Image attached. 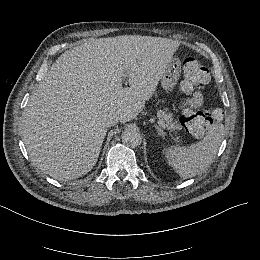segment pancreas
<instances>
[{"mask_svg":"<svg viewBox=\"0 0 260 260\" xmlns=\"http://www.w3.org/2000/svg\"><path fill=\"white\" fill-rule=\"evenodd\" d=\"M157 116L159 119L164 120L169 130H181L182 125L176 121L171 112L158 111Z\"/></svg>","mask_w":260,"mask_h":260,"instance_id":"1","label":"pancreas"}]
</instances>
